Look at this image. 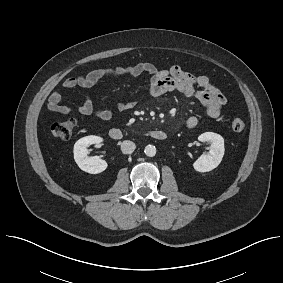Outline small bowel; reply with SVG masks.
Masks as SVG:
<instances>
[{
  "label": "small bowel",
  "mask_w": 283,
  "mask_h": 283,
  "mask_svg": "<svg viewBox=\"0 0 283 283\" xmlns=\"http://www.w3.org/2000/svg\"><path fill=\"white\" fill-rule=\"evenodd\" d=\"M149 75L148 94L152 97H159L168 92L178 91L187 97L194 98L201 103L206 110L207 116L216 118L220 115L222 107L227 99L220 89L206 75H194L184 70L179 65H173L167 70L157 68L152 63H139L130 66H116L97 68L87 75L79 77H68L63 80L62 86L65 89L82 88L88 89L94 86L99 80L107 77H131L137 78ZM136 104V100L130 99L119 102L117 109L126 111ZM47 108L55 113L69 115L78 113L81 115L94 114L103 121H108L112 117V112L108 109L97 108L88 96H84L83 102L77 108L62 104V95L58 91H53L48 98ZM199 119L191 115L186 119V127L195 128Z\"/></svg>",
  "instance_id": "small-bowel-1"
}]
</instances>
